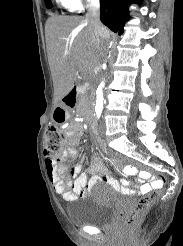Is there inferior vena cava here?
<instances>
[{
    "mask_svg": "<svg viewBox=\"0 0 183 246\" xmlns=\"http://www.w3.org/2000/svg\"><path fill=\"white\" fill-rule=\"evenodd\" d=\"M86 20L92 27L97 37L107 39L108 34L106 28L100 22V2L99 0H87Z\"/></svg>",
    "mask_w": 183,
    "mask_h": 246,
    "instance_id": "obj_1",
    "label": "inferior vena cava"
}]
</instances>
